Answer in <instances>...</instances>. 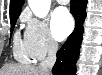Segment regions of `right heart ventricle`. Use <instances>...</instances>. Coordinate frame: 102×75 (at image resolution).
<instances>
[{
    "instance_id": "right-heart-ventricle-1",
    "label": "right heart ventricle",
    "mask_w": 102,
    "mask_h": 75,
    "mask_svg": "<svg viewBox=\"0 0 102 75\" xmlns=\"http://www.w3.org/2000/svg\"><path fill=\"white\" fill-rule=\"evenodd\" d=\"M13 53L15 59L18 61L31 62L32 60V56L26 46L25 38H21L19 33L15 34Z\"/></svg>"
}]
</instances>
